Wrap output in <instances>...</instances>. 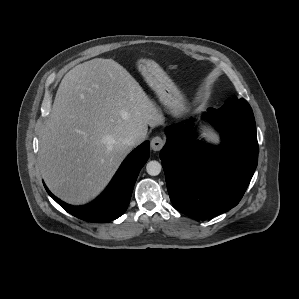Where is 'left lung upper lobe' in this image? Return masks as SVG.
<instances>
[{
  "label": "left lung upper lobe",
  "instance_id": "1",
  "mask_svg": "<svg viewBox=\"0 0 299 299\" xmlns=\"http://www.w3.org/2000/svg\"><path fill=\"white\" fill-rule=\"evenodd\" d=\"M212 113L217 115H222V116L240 115V114L253 115L249 103L243 98L237 99L236 97L227 100L225 104L219 109L212 108Z\"/></svg>",
  "mask_w": 299,
  "mask_h": 299
}]
</instances>
